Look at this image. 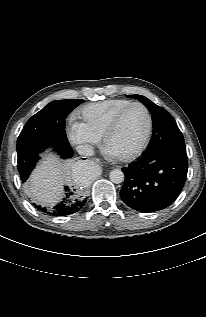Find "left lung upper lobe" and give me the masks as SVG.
Masks as SVG:
<instances>
[{
	"label": "left lung upper lobe",
	"mask_w": 206,
	"mask_h": 317,
	"mask_svg": "<svg viewBox=\"0 0 206 317\" xmlns=\"http://www.w3.org/2000/svg\"><path fill=\"white\" fill-rule=\"evenodd\" d=\"M128 96L141 101L152 114L153 135L147 152L165 148H175L186 151L183 135L174 118L167 110L142 95Z\"/></svg>",
	"instance_id": "left-lung-upper-lobe-1"
}]
</instances>
